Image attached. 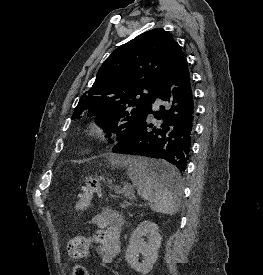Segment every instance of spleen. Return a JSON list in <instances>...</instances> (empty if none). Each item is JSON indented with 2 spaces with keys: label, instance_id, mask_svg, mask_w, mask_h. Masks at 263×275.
Here are the masks:
<instances>
[{
  "label": "spleen",
  "instance_id": "3e777b00",
  "mask_svg": "<svg viewBox=\"0 0 263 275\" xmlns=\"http://www.w3.org/2000/svg\"><path fill=\"white\" fill-rule=\"evenodd\" d=\"M121 164L127 167L128 176L139 195L150 202L153 211L167 215L178 212L182 184L168 188L149 173L154 166L168 167V164L154 163L142 157H129L122 160Z\"/></svg>",
  "mask_w": 263,
  "mask_h": 275
}]
</instances>
